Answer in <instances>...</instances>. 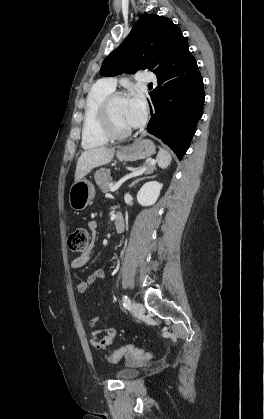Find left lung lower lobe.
<instances>
[{"label":"left lung lower lobe","instance_id":"obj_1","mask_svg":"<svg viewBox=\"0 0 264 419\" xmlns=\"http://www.w3.org/2000/svg\"><path fill=\"white\" fill-rule=\"evenodd\" d=\"M158 87L149 92L147 131L160 138L181 160L196 132L204 104L203 79L182 34L170 43L155 73Z\"/></svg>","mask_w":264,"mask_h":419}]
</instances>
